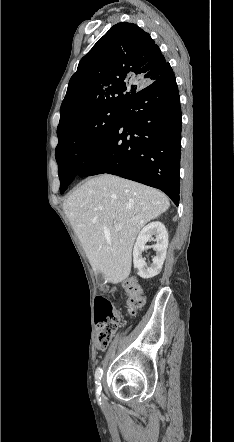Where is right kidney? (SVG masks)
Masks as SVG:
<instances>
[{
    "label": "right kidney",
    "instance_id": "1",
    "mask_svg": "<svg viewBox=\"0 0 234 442\" xmlns=\"http://www.w3.org/2000/svg\"><path fill=\"white\" fill-rule=\"evenodd\" d=\"M155 237L156 244L153 249L156 255L152 259L150 266L146 265L142 253L148 249L146 243ZM168 247V233L165 226L159 222H151L144 226L140 231L133 249V263L134 268L138 270V275L143 279H149L156 276L166 258Z\"/></svg>",
    "mask_w": 234,
    "mask_h": 442
}]
</instances>
